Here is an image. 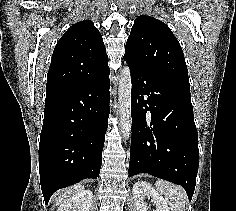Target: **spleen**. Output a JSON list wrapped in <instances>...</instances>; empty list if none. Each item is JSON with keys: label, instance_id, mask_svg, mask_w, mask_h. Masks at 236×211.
I'll list each match as a JSON object with an SVG mask.
<instances>
[{"label": "spleen", "instance_id": "spleen-1", "mask_svg": "<svg viewBox=\"0 0 236 211\" xmlns=\"http://www.w3.org/2000/svg\"><path fill=\"white\" fill-rule=\"evenodd\" d=\"M156 191L167 201L171 211H185L186 192L181 186L164 180L155 183Z\"/></svg>", "mask_w": 236, "mask_h": 211}]
</instances>
